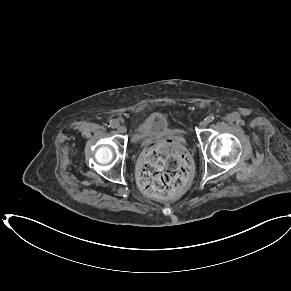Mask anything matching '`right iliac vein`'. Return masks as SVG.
Returning a JSON list of instances; mask_svg holds the SVG:
<instances>
[{
    "instance_id": "obj_1",
    "label": "right iliac vein",
    "mask_w": 291,
    "mask_h": 291,
    "mask_svg": "<svg viewBox=\"0 0 291 291\" xmlns=\"http://www.w3.org/2000/svg\"><path fill=\"white\" fill-rule=\"evenodd\" d=\"M117 131L120 133V134H124L127 132V128L126 126L124 125H120L118 128H117Z\"/></svg>"
}]
</instances>
